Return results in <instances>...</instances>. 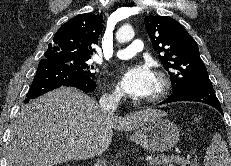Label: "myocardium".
I'll list each match as a JSON object with an SVG mask.
<instances>
[{
  "label": "myocardium",
  "mask_w": 231,
  "mask_h": 166,
  "mask_svg": "<svg viewBox=\"0 0 231 166\" xmlns=\"http://www.w3.org/2000/svg\"><path fill=\"white\" fill-rule=\"evenodd\" d=\"M156 79V89L155 91L149 95L146 99L148 102H157L163 99L170 90V79L169 77L162 71H157L155 73Z\"/></svg>",
  "instance_id": "myocardium-1"
}]
</instances>
